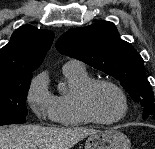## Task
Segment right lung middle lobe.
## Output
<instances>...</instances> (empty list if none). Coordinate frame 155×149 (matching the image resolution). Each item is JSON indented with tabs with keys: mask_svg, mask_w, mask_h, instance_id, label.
I'll return each mask as SVG.
<instances>
[{
	"mask_svg": "<svg viewBox=\"0 0 155 149\" xmlns=\"http://www.w3.org/2000/svg\"><path fill=\"white\" fill-rule=\"evenodd\" d=\"M32 74L0 77V125L26 122V98Z\"/></svg>",
	"mask_w": 155,
	"mask_h": 149,
	"instance_id": "1",
	"label": "right lung middle lobe"
}]
</instances>
